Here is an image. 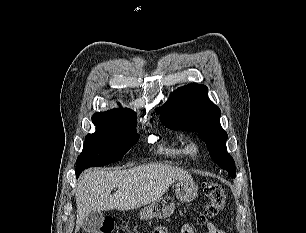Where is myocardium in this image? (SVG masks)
<instances>
[{
    "label": "myocardium",
    "mask_w": 306,
    "mask_h": 233,
    "mask_svg": "<svg viewBox=\"0 0 306 233\" xmlns=\"http://www.w3.org/2000/svg\"><path fill=\"white\" fill-rule=\"evenodd\" d=\"M186 152L189 155L195 156L200 152V145L196 140H189L186 146Z\"/></svg>",
    "instance_id": "obj_1"
}]
</instances>
